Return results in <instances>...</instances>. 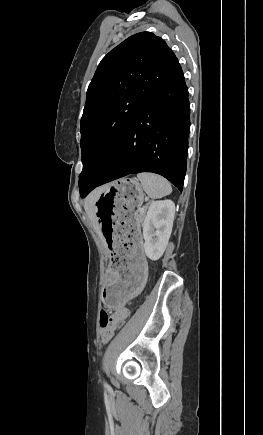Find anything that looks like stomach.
Wrapping results in <instances>:
<instances>
[{
	"instance_id": "0dacf381",
	"label": "stomach",
	"mask_w": 263,
	"mask_h": 435,
	"mask_svg": "<svg viewBox=\"0 0 263 435\" xmlns=\"http://www.w3.org/2000/svg\"><path fill=\"white\" fill-rule=\"evenodd\" d=\"M144 193L136 178H120L104 186L95 203L98 233H104L109 260L103 299L107 310L131 305L149 282L148 262L142 260L144 234L139 224L138 209Z\"/></svg>"
}]
</instances>
